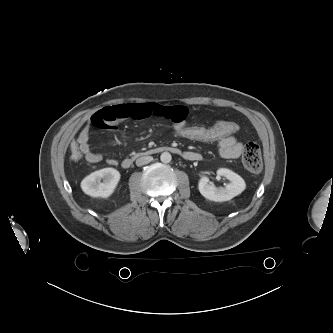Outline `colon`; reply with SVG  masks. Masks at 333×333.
I'll return each mask as SVG.
<instances>
[{"mask_svg":"<svg viewBox=\"0 0 333 333\" xmlns=\"http://www.w3.org/2000/svg\"><path fill=\"white\" fill-rule=\"evenodd\" d=\"M239 127L235 122L219 121L211 126L173 125L171 132L174 136L201 142H218L228 136L234 135ZM83 157L81 149L76 142L70 145V159L78 161ZM242 162L245 168L257 173L262 168L261 150L257 143L248 142L242 153Z\"/></svg>","mask_w":333,"mask_h":333,"instance_id":"5ec220e1","label":"colon"}]
</instances>
